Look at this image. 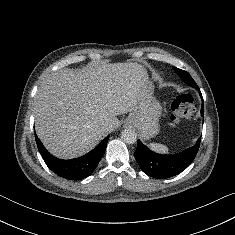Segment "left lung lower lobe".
Wrapping results in <instances>:
<instances>
[{
	"instance_id": "left-lung-lower-lobe-1",
	"label": "left lung lower lobe",
	"mask_w": 235,
	"mask_h": 235,
	"mask_svg": "<svg viewBox=\"0 0 235 235\" xmlns=\"http://www.w3.org/2000/svg\"><path fill=\"white\" fill-rule=\"evenodd\" d=\"M185 82H189L186 80ZM195 88L199 90L196 85ZM202 98V94L200 93ZM201 115L204 117V103L202 98ZM201 137L197 143L185 151L174 155H161L148 149L138 140L134 156L140 168L148 175L157 179L175 176L185 170L194 160L200 146Z\"/></svg>"
}]
</instances>
